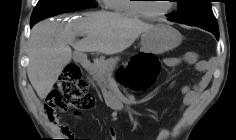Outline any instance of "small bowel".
<instances>
[{
	"mask_svg": "<svg viewBox=\"0 0 236 140\" xmlns=\"http://www.w3.org/2000/svg\"><path fill=\"white\" fill-rule=\"evenodd\" d=\"M164 64L168 67H177L181 64H192L195 66L196 70L203 72L201 79L194 85L193 88L189 86H184L182 89L183 99L181 103V111L187 112L191 107H193L201 93L207 88L210 80L211 74L207 71V62L201 60L196 52H187L178 57H166L163 60ZM62 132L71 136V131L68 126H63ZM110 140H117V134L115 129H109ZM169 131L165 128H161L158 132L156 140H168Z\"/></svg>",
	"mask_w": 236,
	"mask_h": 140,
	"instance_id": "1",
	"label": "small bowel"
}]
</instances>
